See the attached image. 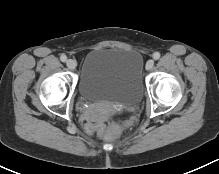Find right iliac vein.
Returning <instances> with one entry per match:
<instances>
[{"mask_svg":"<svg viewBox=\"0 0 219 174\" xmlns=\"http://www.w3.org/2000/svg\"><path fill=\"white\" fill-rule=\"evenodd\" d=\"M66 65L67 67L70 69V70H74L77 66V63L75 60L73 59H68L67 62H66Z\"/></svg>","mask_w":219,"mask_h":174,"instance_id":"obj_1","label":"right iliac vein"}]
</instances>
